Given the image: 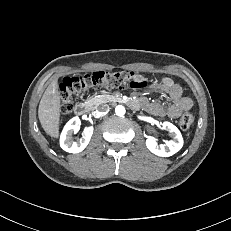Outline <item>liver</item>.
I'll return each mask as SVG.
<instances>
[{
    "label": "liver",
    "instance_id": "obj_1",
    "mask_svg": "<svg viewBox=\"0 0 231 231\" xmlns=\"http://www.w3.org/2000/svg\"><path fill=\"white\" fill-rule=\"evenodd\" d=\"M58 89V79L55 78L45 90L38 107L41 126L53 138L59 136L61 96Z\"/></svg>",
    "mask_w": 231,
    "mask_h": 231
}]
</instances>
